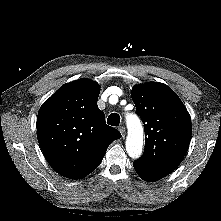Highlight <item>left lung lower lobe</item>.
Here are the masks:
<instances>
[{
	"instance_id": "left-lung-lower-lobe-1",
	"label": "left lung lower lobe",
	"mask_w": 221,
	"mask_h": 221,
	"mask_svg": "<svg viewBox=\"0 0 221 221\" xmlns=\"http://www.w3.org/2000/svg\"><path fill=\"white\" fill-rule=\"evenodd\" d=\"M133 166L137 174L145 181H156L168 175L167 173L144 166L137 161L133 163Z\"/></svg>"
}]
</instances>
